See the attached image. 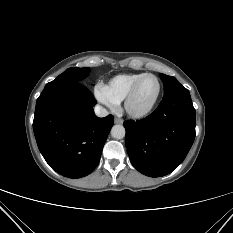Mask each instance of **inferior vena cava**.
Returning a JSON list of instances; mask_svg holds the SVG:
<instances>
[{
  "instance_id": "1",
  "label": "inferior vena cava",
  "mask_w": 233,
  "mask_h": 233,
  "mask_svg": "<svg viewBox=\"0 0 233 233\" xmlns=\"http://www.w3.org/2000/svg\"><path fill=\"white\" fill-rule=\"evenodd\" d=\"M94 112L98 117H106L109 112L100 105L95 106Z\"/></svg>"
}]
</instances>
